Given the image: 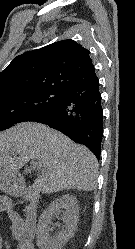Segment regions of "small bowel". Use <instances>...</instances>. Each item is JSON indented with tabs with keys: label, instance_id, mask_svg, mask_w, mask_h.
I'll list each match as a JSON object with an SVG mask.
<instances>
[{
	"label": "small bowel",
	"instance_id": "obj_1",
	"mask_svg": "<svg viewBox=\"0 0 135 249\" xmlns=\"http://www.w3.org/2000/svg\"><path fill=\"white\" fill-rule=\"evenodd\" d=\"M0 212L7 214L12 226V234L17 240L16 249H35V220L34 215H27L25 219L14 210L12 202L4 196L0 197ZM0 249H2V237L0 235Z\"/></svg>",
	"mask_w": 135,
	"mask_h": 249
}]
</instances>
